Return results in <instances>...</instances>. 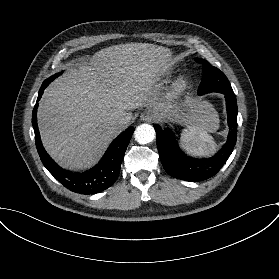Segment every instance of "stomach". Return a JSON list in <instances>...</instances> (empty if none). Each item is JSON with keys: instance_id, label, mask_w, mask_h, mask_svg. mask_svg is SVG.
Returning <instances> with one entry per match:
<instances>
[{"instance_id": "1", "label": "stomach", "mask_w": 279, "mask_h": 279, "mask_svg": "<svg viewBox=\"0 0 279 279\" xmlns=\"http://www.w3.org/2000/svg\"><path fill=\"white\" fill-rule=\"evenodd\" d=\"M158 117H159V122H161L163 120V116L159 113H157Z\"/></svg>"}]
</instances>
